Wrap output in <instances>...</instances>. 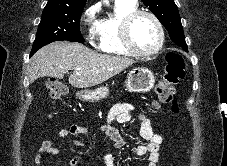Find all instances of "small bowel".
Returning <instances> with one entry per match:
<instances>
[{"label": "small bowel", "instance_id": "obj_1", "mask_svg": "<svg viewBox=\"0 0 227 166\" xmlns=\"http://www.w3.org/2000/svg\"><path fill=\"white\" fill-rule=\"evenodd\" d=\"M134 106L129 103H119L115 104L108 112L106 117V125H100L96 128H89L86 126L72 125L69 127L62 128L59 131L61 137L66 136H79L88 133L91 130L97 129L104 134H106L113 146L117 149L124 147L125 139L119 133V131L113 126L114 122H127L130 120L131 112L134 110ZM140 122L139 130V141L140 144L132 149V154L136 156H147L148 165L147 166H157L160 160L159 148L163 142L161 135L153 132L150 119L144 115L139 114L138 116ZM73 144L75 146H86L81 140H74ZM60 150L55 146L54 142L50 139H46L42 142L41 146L38 148L34 155V165L41 166L43 158L46 155H57ZM80 156L75 155L72 158L65 161L66 166H77L80 163ZM104 166H114V155L106 154L104 158Z\"/></svg>", "mask_w": 227, "mask_h": 166}]
</instances>
